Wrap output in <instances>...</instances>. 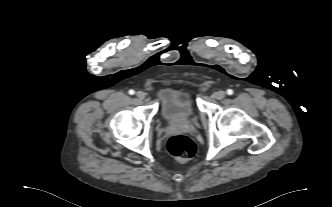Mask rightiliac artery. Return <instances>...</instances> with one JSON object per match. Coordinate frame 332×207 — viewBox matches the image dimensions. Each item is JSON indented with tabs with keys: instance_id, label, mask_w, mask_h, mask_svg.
I'll list each match as a JSON object with an SVG mask.
<instances>
[{
	"instance_id": "82829eb1",
	"label": "right iliac artery",
	"mask_w": 332,
	"mask_h": 207,
	"mask_svg": "<svg viewBox=\"0 0 332 207\" xmlns=\"http://www.w3.org/2000/svg\"><path fill=\"white\" fill-rule=\"evenodd\" d=\"M134 93H135V91H134V90H132V89H131V90H129V94H130V95H133Z\"/></svg>"
}]
</instances>
